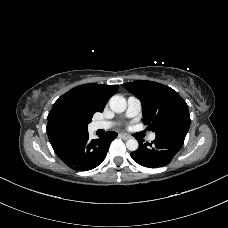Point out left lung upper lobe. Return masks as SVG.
<instances>
[{
  "instance_id": "left-lung-upper-lobe-1",
  "label": "left lung upper lobe",
  "mask_w": 228,
  "mask_h": 228,
  "mask_svg": "<svg viewBox=\"0 0 228 228\" xmlns=\"http://www.w3.org/2000/svg\"><path fill=\"white\" fill-rule=\"evenodd\" d=\"M136 95L143 109V122L156 135L178 132L190 127L188 105L172 88L153 81L139 80L123 84Z\"/></svg>"
}]
</instances>
